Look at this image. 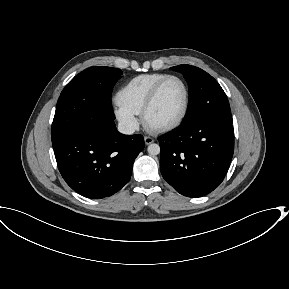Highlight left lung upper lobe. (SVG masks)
<instances>
[{
	"instance_id": "1",
	"label": "left lung upper lobe",
	"mask_w": 289,
	"mask_h": 289,
	"mask_svg": "<svg viewBox=\"0 0 289 289\" xmlns=\"http://www.w3.org/2000/svg\"><path fill=\"white\" fill-rule=\"evenodd\" d=\"M171 69L182 73L189 86V103L182 124L200 118H215L232 123L226 94L211 75L198 67L186 64Z\"/></svg>"
}]
</instances>
